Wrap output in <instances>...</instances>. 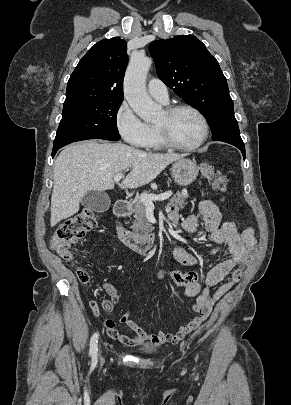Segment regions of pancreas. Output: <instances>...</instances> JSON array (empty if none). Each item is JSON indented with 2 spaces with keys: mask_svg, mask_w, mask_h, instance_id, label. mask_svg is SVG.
I'll use <instances>...</instances> for the list:
<instances>
[{
  "mask_svg": "<svg viewBox=\"0 0 291 405\" xmlns=\"http://www.w3.org/2000/svg\"><path fill=\"white\" fill-rule=\"evenodd\" d=\"M188 198L187 193H176L171 201L175 203L180 209H182L186 205V199ZM134 222L132 229L135 234L141 236H147L150 232H152L153 227L146 219V205L139 199L134 202Z\"/></svg>",
  "mask_w": 291,
  "mask_h": 405,
  "instance_id": "cf45deb5",
  "label": "pancreas"
}]
</instances>
